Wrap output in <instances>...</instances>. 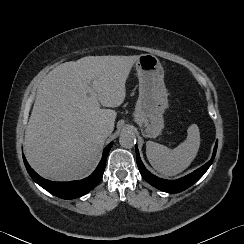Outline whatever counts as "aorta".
I'll use <instances>...</instances> for the list:
<instances>
[{"label": "aorta", "mask_w": 244, "mask_h": 244, "mask_svg": "<svg viewBox=\"0 0 244 244\" xmlns=\"http://www.w3.org/2000/svg\"><path fill=\"white\" fill-rule=\"evenodd\" d=\"M119 143L123 148L130 149L136 143V136L131 131H123L119 137Z\"/></svg>", "instance_id": "obj_1"}]
</instances>
